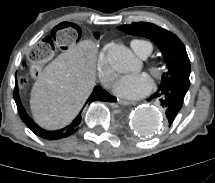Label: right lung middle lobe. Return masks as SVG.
<instances>
[{
	"instance_id": "obj_1",
	"label": "right lung middle lobe",
	"mask_w": 215,
	"mask_h": 183,
	"mask_svg": "<svg viewBox=\"0 0 215 183\" xmlns=\"http://www.w3.org/2000/svg\"><path fill=\"white\" fill-rule=\"evenodd\" d=\"M58 28H60V25H58V26L56 27V30H57ZM94 36H95L96 39H98V38L100 37L99 33H94ZM79 37H80V33H79Z\"/></svg>"
}]
</instances>
